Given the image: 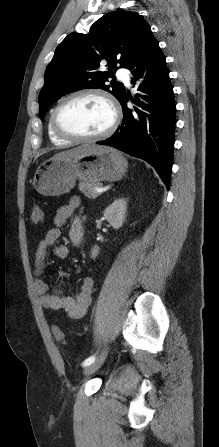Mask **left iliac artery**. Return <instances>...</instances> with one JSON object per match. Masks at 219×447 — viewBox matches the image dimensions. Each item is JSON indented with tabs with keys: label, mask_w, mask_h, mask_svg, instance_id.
<instances>
[{
	"label": "left iliac artery",
	"mask_w": 219,
	"mask_h": 447,
	"mask_svg": "<svg viewBox=\"0 0 219 447\" xmlns=\"http://www.w3.org/2000/svg\"><path fill=\"white\" fill-rule=\"evenodd\" d=\"M95 359H96V356H95V355L90 356L89 358H87V359L83 362L82 366L86 367L87 365H89V364H91L92 362H94Z\"/></svg>",
	"instance_id": "1"
}]
</instances>
